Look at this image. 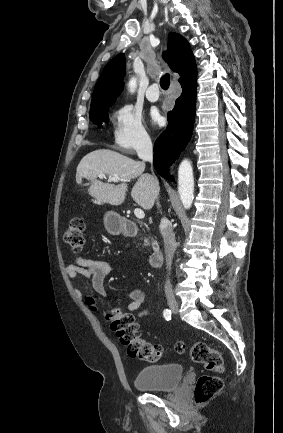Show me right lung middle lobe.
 Returning a JSON list of instances; mask_svg holds the SVG:
<instances>
[{"label":"right lung middle lobe","mask_w":283,"mask_h":433,"mask_svg":"<svg viewBox=\"0 0 283 433\" xmlns=\"http://www.w3.org/2000/svg\"><path fill=\"white\" fill-rule=\"evenodd\" d=\"M111 106L112 105H109L90 112V120L97 125H101L102 121L107 122L108 121L107 111Z\"/></svg>","instance_id":"obj_1"}]
</instances>
